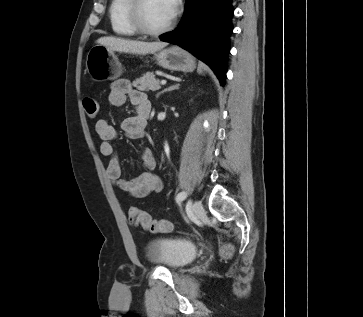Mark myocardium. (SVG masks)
Wrapping results in <instances>:
<instances>
[{
  "mask_svg": "<svg viewBox=\"0 0 363 317\" xmlns=\"http://www.w3.org/2000/svg\"><path fill=\"white\" fill-rule=\"evenodd\" d=\"M144 0H130L127 8V19L131 27L139 34L147 37H157L167 33L173 26L176 19V11L170 20L159 29H150L143 23L141 10Z\"/></svg>",
  "mask_w": 363,
  "mask_h": 317,
  "instance_id": "1",
  "label": "myocardium"
}]
</instances>
